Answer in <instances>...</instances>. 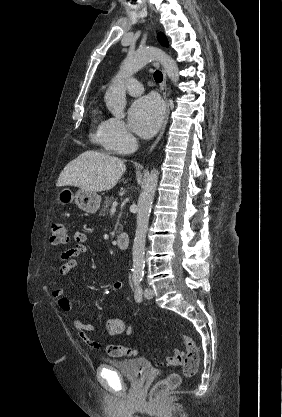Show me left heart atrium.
<instances>
[{
	"instance_id": "39dd6f15",
	"label": "left heart atrium",
	"mask_w": 282,
	"mask_h": 417,
	"mask_svg": "<svg viewBox=\"0 0 282 417\" xmlns=\"http://www.w3.org/2000/svg\"><path fill=\"white\" fill-rule=\"evenodd\" d=\"M163 105L155 96H146L136 101L129 110L131 129L140 136H149L159 127Z\"/></svg>"
}]
</instances>
